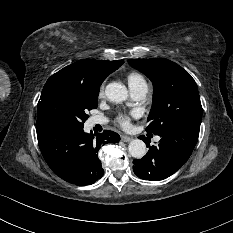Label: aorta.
<instances>
[{
  "label": "aorta",
  "mask_w": 233,
  "mask_h": 233,
  "mask_svg": "<svg viewBox=\"0 0 233 233\" xmlns=\"http://www.w3.org/2000/svg\"><path fill=\"white\" fill-rule=\"evenodd\" d=\"M105 94L110 101L119 103L127 99L128 91L123 84L112 82L106 86ZM128 151L132 157L141 159L146 155V144L140 139H134L129 143Z\"/></svg>",
  "instance_id": "1"
}]
</instances>
